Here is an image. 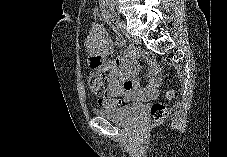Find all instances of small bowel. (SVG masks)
<instances>
[{"label": "small bowel", "mask_w": 227, "mask_h": 157, "mask_svg": "<svg viewBox=\"0 0 227 157\" xmlns=\"http://www.w3.org/2000/svg\"><path fill=\"white\" fill-rule=\"evenodd\" d=\"M86 48L90 65L96 73L101 75L107 73L104 80L106 89L99 95L100 99L139 101L157 96L160 76L156 65L153 63L150 65L149 83L142 86L136 77L138 65L135 50L130 48L116 59H109L108 56L113 53V43L100 24H93L87 36Z\"/></svg>", "instance_id": "1"}]
</instances>
